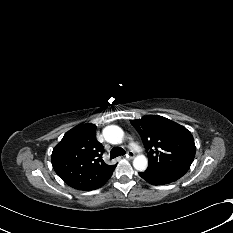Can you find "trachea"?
<instances>
[{
    "instance_id": "3493384b",
    "label": "trachea",
    "mask_w": 233,
    "mask_h": 233,
    "mask_svg": "<svg viewBox=\"0 0 233 233\" xmlns=\"http://www.w3.org/2000/svg\"><path fill=\"white\" fill-rule=\"evenodd\" d=\"M126 152L123 148L121 147H114L111 151H110V158H116L118 156L124 155Z\"/></svg>"
}]
</instances>
